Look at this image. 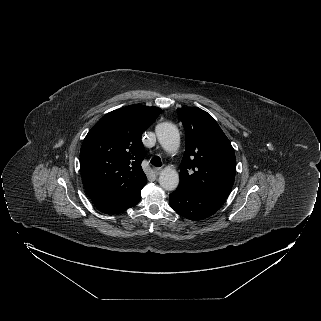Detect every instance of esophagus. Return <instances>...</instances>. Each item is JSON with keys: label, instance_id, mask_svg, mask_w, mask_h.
Listing matches in <instances>:
<instances>
[{"label": "esophagus", "instance_id": "34e87169", "mask_svg": "<svg viewBox=\"0 0 321 321\" xmlns=\"http://www.w3.org/2000/svg\"><path fill=\"white\" fill-rule=\"evenodd\" d=\"M153 172L156 176H158L162 172V168L161 167H154Z\"/></svg>", "mask_w": 321, "mask_h": 321}]
</instances>
